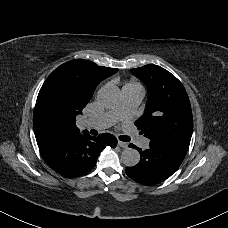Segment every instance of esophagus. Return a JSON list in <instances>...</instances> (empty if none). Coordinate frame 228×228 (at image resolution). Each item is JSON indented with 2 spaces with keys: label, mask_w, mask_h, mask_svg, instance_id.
I'll list each match as a JSON object with an SVG mask.
<instances>
[{
  "label": "esophagus",
  "mask_w": 228,
  "mask_h": 228,
  "mask_svg": "<svg viewBox=\"0 0 228 228\" xmlns=\"http://www.w3.org/2000/svg\"><path fill=\"white\" fill-rule=\"evenodd\" d=\"M118 145H119V147H122L124 149L128 148V143L123 142V141H118Z\"/></svg>",
  "instance_id": "34e87169"
}]
</instances>
